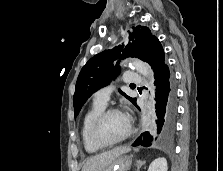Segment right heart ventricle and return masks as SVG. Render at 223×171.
<instances>
[{
	"label": "right heart ventricle",
	"instance_id": "1",
	"mask_svg": "<svg viewBox=\"0 0 223 171\" xmlns=\"http://www.w3.org/2000/svg\"><path fill=\"white\" fill-rule=\"evenodd\" d=\"M105 106L106 105L94 101L82 119L81 130H80L81 139L84 149L86 150V152L90 154L97 153L102 149L101 147L94 144L93 141L91 140L89 129L93 119L96 117L98 113H100L103 109H105Z\"/></svg>",
	"mask_w": 223,
	"mask_h": 171
}]
</instances>
